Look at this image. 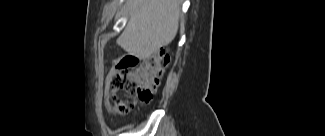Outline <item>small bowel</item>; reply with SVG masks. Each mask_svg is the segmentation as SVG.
Returning <instances> with one entry per match:
<instances>
[{
  "mask_svg": "<svg viewBox=\"0 0 325 136\" xmlns=\"http://www.w3.org/2000/svg\"><path fill=\"white\" fill-rule=\"evenodd\" d=\"M141 63L142 58L138 57L137 53H122L120 62L117 63V66L113 64L108 73L104 87L105 90L111 91H104V98H113V93L117 90L115 86H119L120 80L123 82L127 77L126 75L135 70L136 64Z\"/></svg>",
  "mask_w": 325,
  "mask_h": 136,
  "instance_id": "1",
  "label": "small bowel"
}]
</instances>
